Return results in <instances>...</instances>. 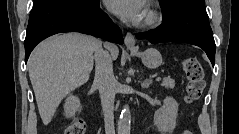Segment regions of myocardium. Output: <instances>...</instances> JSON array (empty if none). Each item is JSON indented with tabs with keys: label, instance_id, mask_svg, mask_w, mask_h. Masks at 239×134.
<instances>
[{
	"label": "myocardium",
	"instance_id": "myocardium-1",
	"mask_svg": "<svg viewBox=\"0 0 239 134\" xmlns=\"http://www.w3.org/2000/svg\"><path fill=\"white\" fill-rule=\"evenodd\" d=\"M160 20H161L160 14L154 9H149L148 13L146 15V18L143 22V25L144 26H153V25H156L157 23H159Z\"/></svg>",
	"mask_w": 239,
	"mask_h": 134
}]
</instances>
